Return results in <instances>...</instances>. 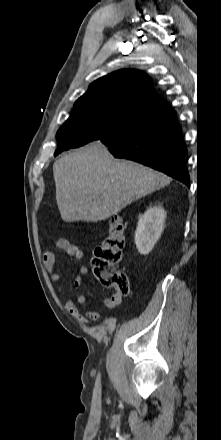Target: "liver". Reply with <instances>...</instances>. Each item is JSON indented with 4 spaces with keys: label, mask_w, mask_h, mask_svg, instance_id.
<instances>
[{
    "label": "liver",
    "mask_w": 221,
    "mask_h": 440,
    "mask_svg": "<svg viewBox=\"0 0 221 440\" xmlns=\"http://www.w3.org/2000/svg\"><path fill=\"white\" fill-rule=\"evenodd\" d=\"M53 175L65 222L105 220L171 181L151 168L114 159L100 141L61 157Z\"/></svg>",
    "instance_id": "1"
}]
</instances>
